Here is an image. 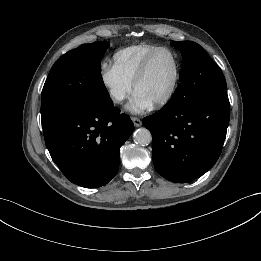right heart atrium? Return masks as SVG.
<instances>
[{"instance_id":"d8ad5b80","label":"right heart atrium","mask_w":261,"mask_h":261,"mask_svg":"<svg viewBox=\"0 0 261 261\" xmlns=\"http://www.w3.org/2000/svg\"><path fill=\"white\" fill-rule=\"evenodd\" d=\"M99 78L103 88L115 104L123 103L132 92V83L110 65L105 64L101 67Z\"/></svg>"}]
</instances>
